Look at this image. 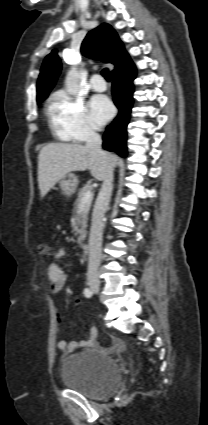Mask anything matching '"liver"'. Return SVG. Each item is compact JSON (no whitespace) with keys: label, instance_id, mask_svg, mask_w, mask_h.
I'll return each mask as SVG.
<instances>
[{"label":"liver","instance_id":"liver-1","mask_svg":"<svg viewBox=\"0 0 208 425\" xmlns=\"http://www.w3.org/2000/svg\"><path fill=\"white\" fill-rule=\"evenodd\" d=\"M114 164L116 156L109 154ZM90 170L98 181L104 179L107 163L86 146L69 143H49L38 156V184L41 197L65 175L73 171Z\"/></svg>","mask_w":208,"mask_h":425}]
</instances>
